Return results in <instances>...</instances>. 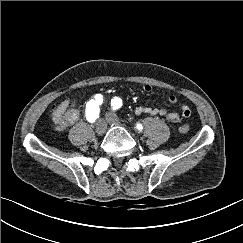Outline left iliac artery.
Instances as JSON below:
<instances>
[{
  "label": "left iliac artery",
  "instance_id": "44dca946",
  "mask_svg": "<svg viewBox=\"0 0 243 243\" xmlns=\"http://www.w3.org/2000/svg\"><path fill=\"white\" fill-rule=\"evenodd\" d=\"M111 106L113 110H117L122 106V100L120 98L115 97L111 100ZM139 129H142L141 125H138Z\"/></svg>",
  "mask_w": 243,
  "mask_h": 243
}]
</instances>
